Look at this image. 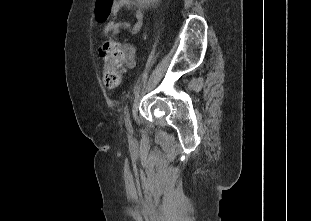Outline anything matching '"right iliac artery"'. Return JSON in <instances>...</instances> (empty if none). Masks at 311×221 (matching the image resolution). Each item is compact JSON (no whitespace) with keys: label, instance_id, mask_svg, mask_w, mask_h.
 Here are the masks:
<instances>
[{"label":"right iliac artery","instance_id":"right-iliac-artery-1","mask_svg":"<svg viewBox=\"0 0 311 221\" xmlns=\"http://www.w3.org/2000/svg\"><path fill=\"white\" fill-rule=\"evenodd\" d=\"M125 125H126L127 130L131 132L132 131V125L130 122L129 112H128L127 106L125 108Z\"/></svg>","mask_w":311,"mask_h":221}]
</instances>
